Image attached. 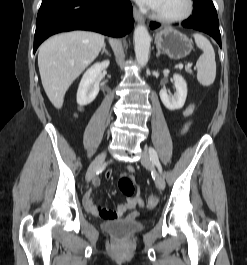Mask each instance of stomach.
I'll return each instance as SVG.
<instances>
[{
	"instance_id": "stomach-1",
	"label": "stomach",
	"mask_w": 247,
	"mask_h": 265,
	"mask_svg": "<svg viewBox=\"0 0 247 265\" xmlns=\"http://www.w3.org/2000/svg\"><path fill=\"white\" fill-rule=\"evenodd\" d=\"M155 43L172 59H182L190 54L193 46L191 40L179 31L164 28L156 33Z\"/></svg>"
}]
</instances>
